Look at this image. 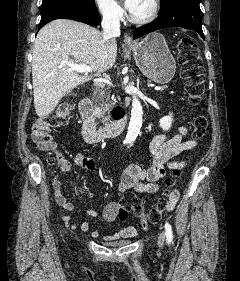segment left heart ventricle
I'll use <instances>...</instances> for the list:
<instances>
[{"label":"left heart ventricle","instance_id":"obj_1","mask_svg":"<svg viewBox=\"0 0 240 281\" xmlns=\"http://www.w3.org/2000/svg\"><path fill=\"white\" fill-rule=\"evenodd\" d=\"M150 10L149 0H140L137 7L131 12L136 17H143Z\"/></svg>","mask_w":240,"mask_h":281}]
</instances>
